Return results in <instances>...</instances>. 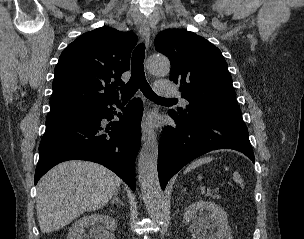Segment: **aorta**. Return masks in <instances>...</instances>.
<instances>
[{"label":"aorta","mask_w":304,"mask_h":239,"mask_svg":"<svg viewBox=\"0 0 304 239\" xmlns=\"http://www.w3.org/2000/svg\"><path fill=\"white\" fill-rule=\"evenodd\" d=\"M148 70L156 76H165L170 72V62L165 56L156 55L148 59ZM158 141L151 135L143 144L138 159V178L142 197L151 218L162 223L165 216L163 194L159 183Z\"/></svg>","instance_id":"762f6f07"}]
</instances>
